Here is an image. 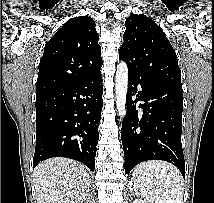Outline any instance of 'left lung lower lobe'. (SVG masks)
Instances as JSON below:
<instances>
[{
	"label": "left lung lower lobe",
	"instance_id": "obj_1",
	"mask_svg": "<svg viewBox=\"0 0 214 203\" xmlns=\"http://www.w3.org/2000/svg\"><path fill=\"white\" fill-rule=\"evenodd\" d=\"M126 102L121 129L125 173L140 162L164 160L175 165L185 179L182 90L128 72ZM137 102H141L142 111L136 110Z\"/></svg>",
	"mask_w": 214,
	"mask_h": 203
}]
</instances>
